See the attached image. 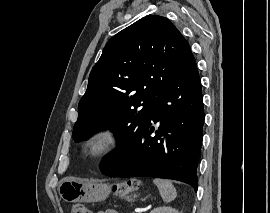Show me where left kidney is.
Returning <instances> with one entry per match:
<instances>
[{
    "instance_id": "1",
    "label": "left kidney",
    "mask_w": 270,
    "mask_h": 213,
    "mask_svg": "<svg viewBox=\"0 0 270 213\" xmlns=\"http://www.w3.org/2000/svg\"><path fill=\"white\" fill-rule=\"evenodd\" d=\"M150 213H179L175 208L169 206H161L154 208Z\"/></svg>"
}]
</instances>
